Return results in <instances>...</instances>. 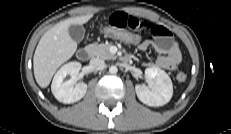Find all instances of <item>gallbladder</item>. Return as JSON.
<instances>
[{"instance_id":"gallbladder-1","label":"gallbladder","mask_w":231,"mask_h":134,"mask_svg":"<svg viewBox=\"0 0 231 134\" xmlns=\"http://www.w3.org/2000/svg\"><path fill=\"white\" fill-rule=\"evenodd\" d=\"M68 32L70 37L75 41V42H81L84 38L85 30L83 26L81 25H71L68 28Z\"/></svg>"}]
</instances>
